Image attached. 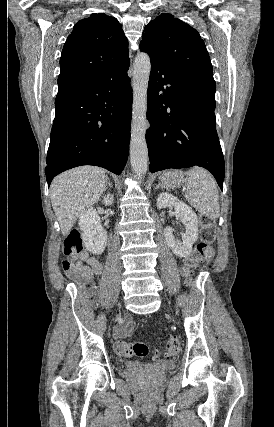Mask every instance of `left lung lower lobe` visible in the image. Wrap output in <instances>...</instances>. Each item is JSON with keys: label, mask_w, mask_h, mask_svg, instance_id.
<instances>
[{"label": "left lung lower lobe", "mask_w": 274, "mask_h": 427, "mask_svg": "<svg viewBox=\"0 0 274 427\" xmlns=\"http://www.w3.org/2000/svg\"><path fill=\"white\" fill-rule=\"evenodd\" d=\"M150 60L146 132L150 171L196 165L209 170L223 189L225 165L215 129L216 86Z\"/></svg>", "instance_id": "obj_1"}]
</instances>
